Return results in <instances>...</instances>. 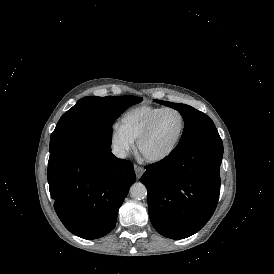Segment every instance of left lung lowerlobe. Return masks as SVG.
Wrapping results in <instances>:
<instances>
[{"mask_svg": "<svg viewBox=\"0 0 274 274\" xmlns=\"http://www.w3.org/2000/svg\"><path fill=\"white\" fill-rule=\"evenodd\" d=\"M222 157V141H209L145 167L141 182L148 189L149 216L157 232L183 239L207 223L219 198Z\"/></svg>", "mask_w": 274, "mask_h": 274, "instance_id": "0a47b994", "label": "left lung lower lobe"}]
</instances>
